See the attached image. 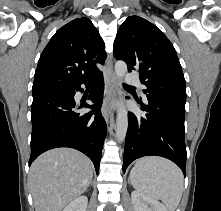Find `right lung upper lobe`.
Here are the masks:
<instances>
[{
  "mask_svg": "<svg viewBox=\"0 0 221 211\" xmlns=\"http://www.w3.org/2000/svg\"><path fill=\"white\" fill-rule=\"evenodd\" d=\"M105 45L88 18H77L61 27L43 50L35 71L33 91L88 80L100 73Z\"/></svg>",
  "mask_w": 221,
  "mask_h": 211,
  "instance_id": "right-lung-upper-lobe-1",
  "label": "right lung upper lobe"
}]
</instances>
